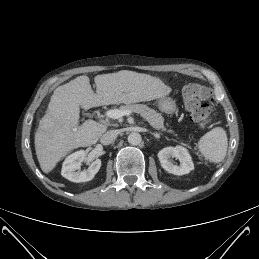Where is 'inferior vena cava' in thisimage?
<instances>
[{"instance_id":"inferior-vena-cava-1","label":"inferior vena cava","mask_w":259,"mask_h":259,"mask_svg":"<svg viewBox=\"0 0 259 259\" xmlns=\"http://www.w3.org/2000/svg\"><path fill=\"white\" fill-rule=\"evenodd\" d=\"M117 136H118L117 130H109L101 136L100 142L103 145H109L113 140L116 139Z\"/></svg>"}]
</instances>
